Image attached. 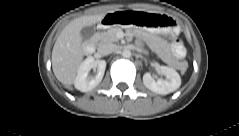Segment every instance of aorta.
Here are the masks:
<instances>
[{
    "mask_svg": "<svg viewBox=\"0 0 239 136\" xmlns=\"http://www.w3.org/2000/svg\"><path fill=\"white\" fill-rule=\"evenodd\" d=\"M131 51L129 50V49H124L123 51H122V56L124 57V58H130L131 57Z\"/></svg>",
    "mask_w": 239,
    "mask_h": 136,
    "instance_id": "762f6f07",
    "label": "aorta"
}]
</instances>
